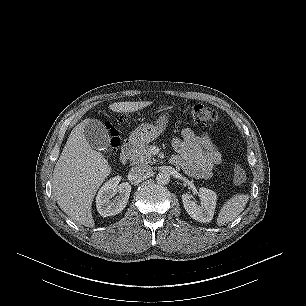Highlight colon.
Wrapping results in <instances>:
<instances>
[{"instance_id":"1","label":"colon","mask_w":306,"mask_h":306,"mask_svg":"<svg viewBox=\"0 0 306 306\" xmlns=\"http://www.w3.org/2000/svg\"><path fill=\"white\" fill-rule=\"evenodd\" d=\"M189 113L196 123L203 126H214L220 118L216 109L199 103L189 106ZM110 135V152L113 153L119 145V137L114 129L110 130ZM245 181L246 171L240 163H236L234 167V183L236 185H242Z\"/></svg>"}]
</instances>
